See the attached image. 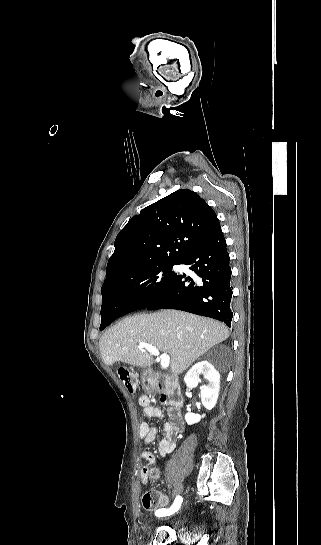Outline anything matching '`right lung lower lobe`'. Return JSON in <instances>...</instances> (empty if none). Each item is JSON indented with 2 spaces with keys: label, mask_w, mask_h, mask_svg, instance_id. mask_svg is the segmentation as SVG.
<instances>
[{
  "label": "right lung lower lobe",
  "mask_w": 321,
  "mask_h": 545,
  "mask_svg": "<svg viewBox=\"0 0 321 545\" xmlns=\"http://www.w3.org/2000/svg\"><path fill=\"white\" fill-rule=\"evenodd\" d=\"M229 260L220 227L181 263L190 265L189 268L199 276L196 282L185 274H178L157 298L146 305L130 297H111L101 307V318L105 320L101 330L120 316L144 308L179 309L223 321L230 327L233 312L230 308Z\"/></svg>",
  "instance_id": "right-lung-lower-lobe-1"
}]
</instances>
